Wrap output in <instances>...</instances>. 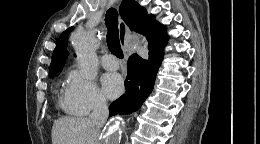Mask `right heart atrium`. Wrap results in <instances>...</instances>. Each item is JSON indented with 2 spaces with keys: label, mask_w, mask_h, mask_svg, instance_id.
Masks as SVG:
<instances>
[{
  "label": "right heart atrium",
  "mask_w": 260,
  "mask_h": 144,
  "mask_svg": "<svg viewBox=\"0 0 260 144\" xmlns=\"http://www.w3.org/2000/svg\"><path fill=\"white\" fill-rule=\"evenodd\" d=\"M66 97L75 114L79 115H88L91 111L107 106L106 98L96 82L85 77L76 69L70 72Z\"/></svg>",
  "instance_id": "right-heart-atrium-1"
}]
</instances>
